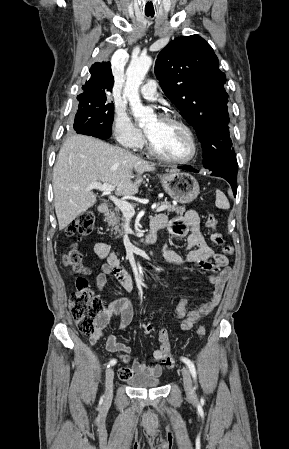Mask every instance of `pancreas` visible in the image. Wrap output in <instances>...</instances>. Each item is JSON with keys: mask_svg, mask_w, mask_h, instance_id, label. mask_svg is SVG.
<instances>
[{"mask_svg": "<svg viewBox=\"0 0 289 449\" xmlns=\"http://www.w3.org/2000/svg\"><path fill=\"white\" fill-rule=\"evenodd\" d=\"M162 204L168 205V208H167L168 212H176L177 214L183 215V213L186 210L184 206L172 205L167 200L163 201ZM121 220L124 221L125 216L122 215V217H120L118 210L112 211L110 214H108L106 216V222H107L108 226H110L111 229L114 230V233H115V235H117V238L122 237V235L124 233V231H123L124 223L121 222Z\"/></svg>", "mask_w": 289, "mask_h": 449, "instance_id": "1", "label": "pancreas"}]
</instances>
